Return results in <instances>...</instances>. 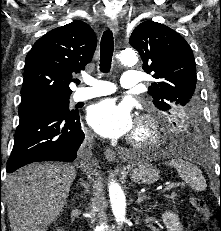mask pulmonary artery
I'll use <instances>...</instances> for the list:
<instances>
[{"label":"pulmonary artery","mask_w":221,"mask_h":231,"mask_svg":"<svg viewBox=\"0 0 221 231\" xmlns=\"http://www.w3.org/2000/svg\"><path fill=\"white\" fill-rule=\"evenodd\" d=\"M140 75L135 71H125L121 77L122 88H135L139 85ZM85 83L89 87H82L73 94V101L80 102L99 96L112 94L116 91L115 86L106 81H101L93 77H86Z\"/></svg>","instance_id":"obj_1"}]
</instances>
